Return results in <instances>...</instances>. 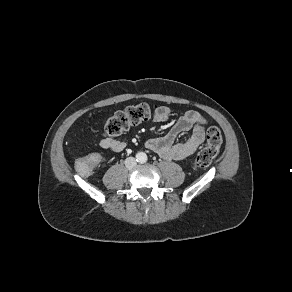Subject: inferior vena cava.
<instances>
[{"instance_id": "inferior-vena-cava-1", "label": "inferior vena cava", "mask_w": 292, "mask_h": 292, "mask_svg": "<svg viewBox=\"0 0 292 292\" xmlns=\"http://www.w3.org/2000/svg\"><path fill=\"white\" fill-rule=\"evenodd\" d=\"M137 162H136V159L134 157H128L126 158L125 160V166L128 168V169H131L133 168L134 166H136Z\"/></svg>"}]
</instances>
